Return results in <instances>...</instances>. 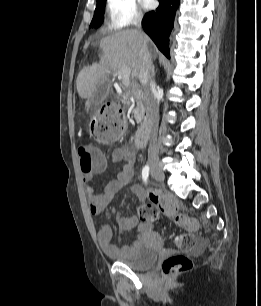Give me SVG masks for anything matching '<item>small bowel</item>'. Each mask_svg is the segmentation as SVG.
<instances>
[{
	"label": "small bowel",
	"instance_id": "1",
	"mask_svg": "<svg viewBox=\"0 0 261 306\" xmlns=\"http://www.w3.org/2000/svg\"><path fill=\"white\" fill-rule=\"evenodd\" d=\"M112 162H122L121 170L116 173L105 185L103 193H96L92 180L95 174L102 172L107 167L108 162L103 159L98 166L91 171H82V182L84 192L88 201V208L91 214L97 215L105 210L115 199L116 195L123 187L130 182L134 176L135 153L128 146H119L113 149L111 154ZM131 191L140 201L145 198V193L140 185L134 184ZM119 228L129 231L139 223L137 216H118L116 218ZM113 230L107 224H101L97 232V241L103 252L111 257L128 256L131 252V246L119 247L112 242Z\"/></svg>",
	"mask_w": 261,
	"mask_h": 306
}]
</instances>
